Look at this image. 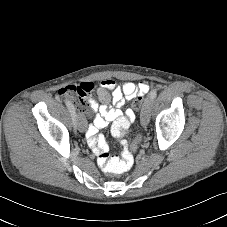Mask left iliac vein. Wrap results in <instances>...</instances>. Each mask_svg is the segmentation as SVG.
I'll use <instances>...</instances> for the list:
<instances>
[{"instance_id":"obj_1","label":"left iliac vein","mask_w":227,"mask_h":227,"mask_svg":"<svg viewBox=\"0 0 227 227\" xmlns=\"http://www.w3.org/2000/svg\"><path fill=\"white\" fill-rule=\"evenodd\" d=\"M152 99L147 98L141 111V124L147 126L151 116Z\"/></svg>"}]
</instances>
